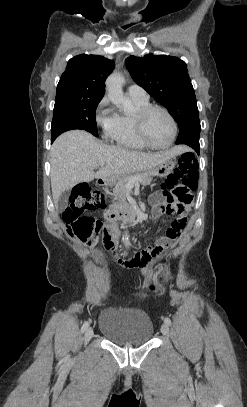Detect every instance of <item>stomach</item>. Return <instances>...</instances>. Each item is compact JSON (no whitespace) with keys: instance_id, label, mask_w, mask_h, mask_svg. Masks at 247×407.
I'll return each mask as SVG.
<instances>
[{"instance_id":"1","label":"stomach","mask_w":247,"mask_h":407,"mask_svg":"<svg viewBox=\"0 0 247 407\" xmlns=\"http://www.w3.org/2000/svg\"><path fill=\"white\" fill-rule=\"evenodd\" d=\"M176 164H177V162L175 161V159H168V160L160 163L156 167L152 168L148 172V174L158 176V177H166L173 172ZM122 177H124V176H111V177L104 179V181L107 186H114L120 181V179Z\"/></svg>"}]
</instances>
